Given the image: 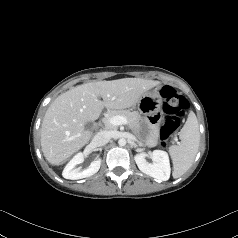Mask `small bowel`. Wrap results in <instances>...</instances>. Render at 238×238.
<instances>
[{
    "mask_svg": "<svg viewBox=\"0 0 238 238\" xmlns=\"http://www.w3.org/2000/svg\"><path fill=\"white\" fill-rule=\"evenodd\" d=\"M148 119L150 121L151 125V133H150V137L148 139V143L149 145L153 146L156 143V139H157V127L156 125L161 123L163 116L161 114V112L154 110L152 112H150Z\"/></svg>",
    "mask_w": 238,
    "mask_h": 238,
    "instance_id": "c3829d8e",
    "label": "small bowel"
}]
</instances>
